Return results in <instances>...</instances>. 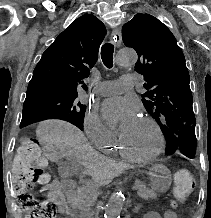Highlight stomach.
Wrapping results in <instances>:
<instances>
[{
  "label": "stomach",
  "instance_id": "stomach-1",
  "mask_svg": "<svg viewBox=\"0 0 211 218\" xmlns=\"http://www.w3.org/2000/svg\"><path fill=\"white\" fill-rule=\"evenodd\" d=\"M151 187L159 192L168 190L171 184V172L164 165H155L149 172Z\"/></svg>",
  "mask_w": 211,
  "mask_h": 218
}]
</instances>
